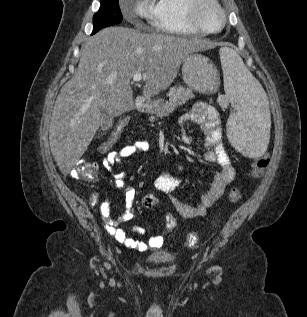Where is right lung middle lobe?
Listing matches in <instances>:
<instances>
[{
  "instance_id": "obj_1",
  "label": "right lung middle lobe",
  "mask_w": 307,
  "mask_h": 317,
  "mask_svg": "<svg viewBox=\"0 0 307 317\" xmlns=\"http://www.w3.org/2000/svg\"><path fill=\"white\" fill-rule=\"evenodd\" d=\"M100 3L99 11L93 16L92 34L104 27L112 26L122 21L118 0H100Z\"/></svg>"
}]
</instances>
